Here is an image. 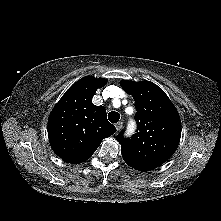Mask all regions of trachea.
<instances>
[{
  "mask_svg": "<svg viewBox=\"0 0 221 221\" xmlns=\"http://www.w3.org/2000/svg\"><path fill=\"white\" fill-rule=\"evenodd\" d=\"M108 119L111 123H117L120 119V114L118 112L111 111L108 114Z\"/></svg>",
  "mask_w": 221,
  "mask_h": 221,
  "instance_id": "1",
  "label": "trachea"
}]
</instances>
